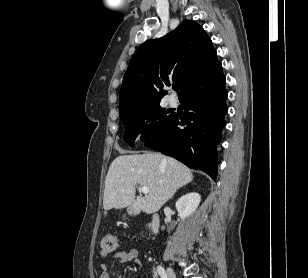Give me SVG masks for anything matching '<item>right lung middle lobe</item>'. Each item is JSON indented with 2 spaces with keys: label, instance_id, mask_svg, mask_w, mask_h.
<instances>
[{
  "label": "right lung middle lobe",
  "instance_id": "1",
  "mask_svg": "<svg viewBox=\"0 0 308 278\" xmlns=\"http://www.w3.org/2000/svg\"><path fill=\"white\" fill-rule=\"evenodd\" d=\"M160 106V103L149 105L137 109L122 117L125 125V141L134 145L137 136L141 135L142 141H148L166 128L174 117V114H168Z\"/></svg>",
  "mask_w": 308,
  "mask_h": 278
}]
</instances>
